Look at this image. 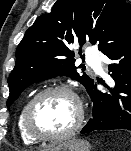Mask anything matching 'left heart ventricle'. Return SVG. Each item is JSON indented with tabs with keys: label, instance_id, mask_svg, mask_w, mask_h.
Returning <instances> with one entry per match:
<instances>
[{
	"label": "left heart ventricle",
	"instance_id": "b2bd125f",
	"mask_svg": "<svg viewBox=\"0 0 131 151\" xmlns=\"http://www.w3.org/2000/svg\"><path fill=\"white\" fill-rule=\"evenodd\" d=\"M76 117L74 102L65 94L52 93L41 98L32 111L31 125L41 135H57L67 130Z\"/></svg>",
	"mask_w": 131,
	"mask_h": 151
}]
</instances>
